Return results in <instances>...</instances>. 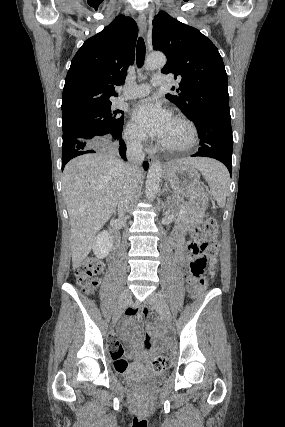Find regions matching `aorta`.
Returning a JSON list of instances; mask_svg holds the SVG:
<instances>
[{"label":"aorta","mask_w":285,"mask_h":427,"mask_svg":"<svg viewBox=\"0 0 285 427\" xmlns=\"http://www.w3.org/2000/svg\"><path fill=\"white\" fill-rule=\"evenodd\" d=\"M166 64V57L161 52L150 53L145 61L146 70H155L164 67ZM162 176V164L156 162L152 164L148 170L147 179L145 183L146 197L148 200H153L159 190Z\"/></svg>","instance_id":"1"}]
</instances>
